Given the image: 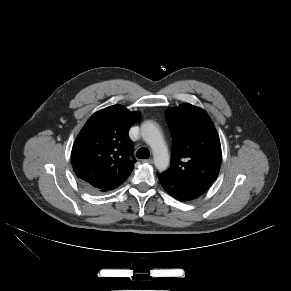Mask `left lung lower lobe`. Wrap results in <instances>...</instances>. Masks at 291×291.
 <instances>
[{
    "mask_svg": "<svg viewBox=\"0 0 291 291\" xmlns=\"http://www.w3.org/2000/svg\"><path fill=\"white\" fill-rule=\"evenodd\" d=\"M163 188L179 201H188L198 198L206 192V189L195 184L174 178L165 172L157 173Z\"/></svg>",
    "mask_w": 291,
    "mask_h": 291,
    "instance_id": "left-lung-lower-lobe-1",
    "label": "left lung lower lobe"
}]
</instances>
